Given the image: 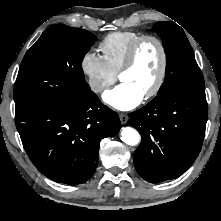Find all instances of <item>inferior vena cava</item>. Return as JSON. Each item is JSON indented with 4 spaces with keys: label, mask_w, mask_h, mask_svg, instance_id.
Masks as SVG:
<instances>
[{
    "label": "inferior vena cava",
    "mask_w": 221,
    "mask_h": 221,
    "mask_svg": "<svg viewBox=\"0 0 221 221\" xmlns=\"http://www.w3.org/2000/svg\"><path fill=\"white\" fill-rule=\"evenodd\" d=\"M100 89H102V87H96V88H95V90H100Z\"/></svg>",
    "instance_id": "inferior-vena-cava-1"
}]
</instances>
